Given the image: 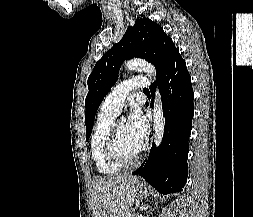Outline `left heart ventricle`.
<instances>
[{
	"label": "left heart ventricle",
	"mask_w": 253,
	"mask_h": 217,
	"mask_svg": "<svg viewBox=\"0 0 253 217\" xmlns=\"http://www.w3.org/2000/svg\"><path fill=\"white\" fill-rule=\"evenodd\" d=\"M143 143L136 139L124 122L117 125V145L119 152L126 158L133 157L141 148Z\"/></svg>",
	"instance_id": "b2bd125f"
}]
</instances>
